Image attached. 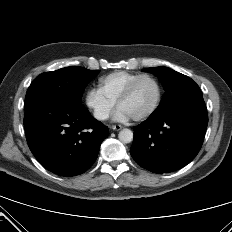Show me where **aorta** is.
<instances>
[{"instance_id": "762f6f07", "label": "aorta", "mask_w": 232, "mask_h": 232, "mask_svg": "<svg viewBox=\"0 0 232 232\" xmlns=\"http://www.w3.org/2000/svg\"><path fill=\"white\" fill-rule=\"evenodd\" d=\"M118 138L122 143H130L133 140V132L130 129H122L119 134Z\"/></svg>"}]
</instances>
